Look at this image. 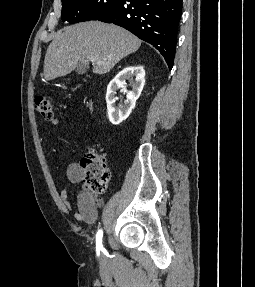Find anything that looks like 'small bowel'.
I'll list each match as a JSON object with an SVG mask.
<instances>
[{"instance_id":"c3829d8e","label":"small bowel","mask_w":255,"mask_h":287,"mask_svg":"<svg viewBox=\"0 0 255 287\" xmlns=\"http://www.w3.org/2000/svg\"><path fill=\"white\" fill-rule=\"evenodd\" d=\"M83 169L78 163H71L66 169V177L72 184H81L83 181ZM69 191L63 189L59 192V200L64 212L71 208L68 200ZM103 205V200L90 194L85 188H81L77 196V211L74 217L79 222L93 224L98 218V209Z\"/></svg>"}]
</instances>
